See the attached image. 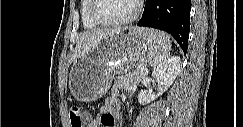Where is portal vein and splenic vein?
Returning <instances> with one entry per match:
<instances>
[{"label": "portal vein and splenic vein", "instance_id": "1", "mask_svg": "<svg viewBox=\"0 0 243 127\" xmlns=\"http://www.w3.org/2000/svg\"><path fill=\"white\" fill-rule=\"evenodd\" d=\"M146 72H147L146 69H142V70H141V73H143V74H146Z\"/></svg>", "mask_w": 243, "mask_h": 127}]
</instances>
